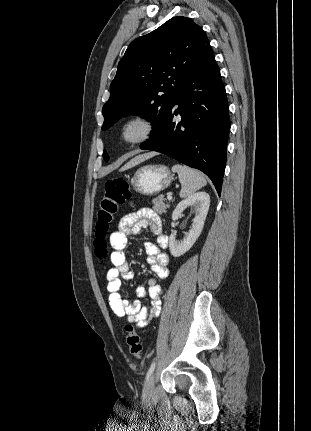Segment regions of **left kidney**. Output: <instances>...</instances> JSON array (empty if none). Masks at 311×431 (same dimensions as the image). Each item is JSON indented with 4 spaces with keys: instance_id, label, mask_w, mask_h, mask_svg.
Here are the masks:
<instances>
[{
    "instance_id": "5707ae66",
    "label": "left kidney",
    "mask_w": 311,
    "mask_h": 431,
    "mask_svg": "<svg viewBox=\"0 0 311 431\" xmlns=\"http://www.w3.org/2000/svg\"><path fill=\"white\" fill-rule=\"evenodd\" d=\"M189 206L195 212L191 229H189L182 241L175 239V235H170L169 237V249L174 257H179V255L186 253V251L192 247L193 243H195L197 237H199L208 214L210 196H208L206 192H197V194L188 196L186 200L179 202L172 214L173 221L171 223V227H175V219H178L182 212H184L186 208H189Z\"/></svg>"
}]
</instances>
